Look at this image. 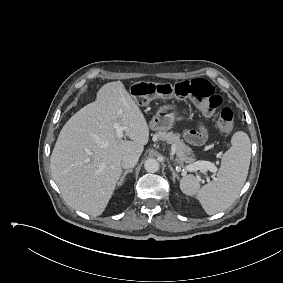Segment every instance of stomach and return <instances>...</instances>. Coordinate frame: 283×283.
<instances>
[{"mask_svg":"<svg viewBox=\"0 0 283 283\" xmlns=\"http://www.w3.org/2000/svg\"><path fill=\"white\" fill-rule=\"evenodd\" d=\"M178 111L173 105H164L159 108L157 113L150 121V128L155 131L170 130L177 119Z\"/></svg>","mask_w":283,"mask_h":283,"instance_id":"stomach-1","label":"stomach"}]
</instances>
